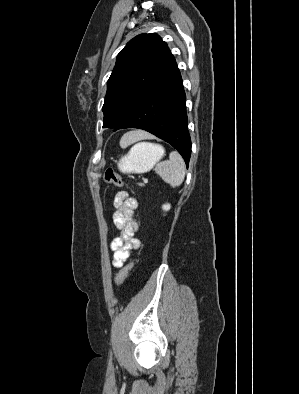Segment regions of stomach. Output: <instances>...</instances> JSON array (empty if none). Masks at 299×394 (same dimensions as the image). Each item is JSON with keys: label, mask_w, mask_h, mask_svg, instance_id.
Returning a JSON list of instances; mask_svg holds the SVG:
<instances>
[{"label": "stomach", "mask_w": 299, "mask_h": 394, "mask_svg": "<svg viewBox=\"0 0 299 394\" xmlns=\"http://www.w3.org/2000/svg\"><path fill=\"white\" fill-rule=\"evenodd\" d=\"M164 150L158 145L139 143L136 149L124 156L119 163V169L127 173H144L149 171L163 156Z\"/></svg>", "instance_id": "1"}]
</instances>
